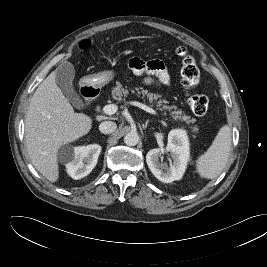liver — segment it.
<instances>
[{
	"mask_svg": "<svg viewBox=\"0 0 267 267\" xmlns=\"http://www.w3.org/2000/svg\"><path fill=\"white\" fill-rule=\"evenodd\" d=\"M91 128L92 119L74 112L51 72L34 92L25 117L26 148L33 166L56 182L59 148L85 136Z\"/></svg>",
	"mask_w": 267,
	"mask_h": 267,
	"instance_id": "6515ba94",
	"label": "liver"
}]
</instances>
